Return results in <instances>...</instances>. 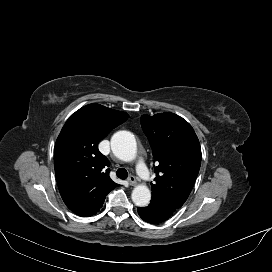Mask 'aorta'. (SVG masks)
<instances>
[{
  "instance_id": "aorta-1",
  "label": "aorta",
  "mask_w": 272,
  "mask_h": 272,
  "mask_svg": "<svg viewBox=\"0 0 272 272\" xmlns=\"http://www.w3.org/2000/svg\"><path fill=\"white\" fill-rule=\"evenodd\" d=\"M111 149L120 160L132 161L137 153L134 135L125 130L116 132L111 138ZM131 197L136 206L145 207L151 200V192L146 185H138L133 189Z\"/></svg>"
}]
</instances>
